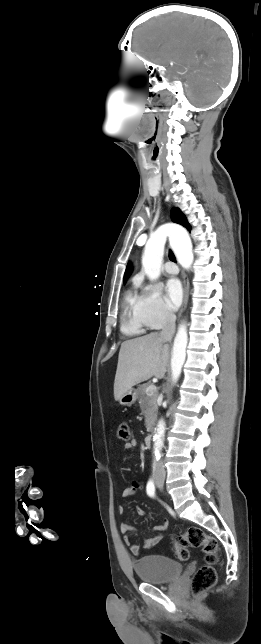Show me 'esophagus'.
Masks as SVG:
<instances>
[{"instance_id": "esophagus-1", "label": "esophagus", "mask_w": 261, "mask_h": 644, "mask_svg": "<svg viewBox=\"0 0 261 644\" xmlns=\"http://www.w3.org/2000/svg\"><path fill=\"white\" fill-rule=\"evenodd\" d=\"M188 298H189V281L186 278V276H184V298H183L182 311L185 310L187 306Z\"/></svg>"}]
</instances>
